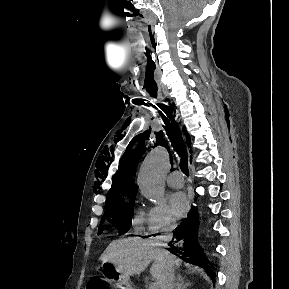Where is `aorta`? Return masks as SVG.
<instances>
[{
    "label": "aorta",
    "mask_w": 289,
    "mask_h": 289,
    "mask_svg": "<svg viewBox=\"0 0 289 289\" xmlns=\"http://www.w3.org/2000/svg\"><path fill=\"white\" fill-rule=\"evenodd\" d=\"M169 166V155L162 146L155 147L144 159L138 174V187L143 196L154 204L164 195V176Z\"/></svg>",
    "instance_id": "obj_1"
}]
</instances>
